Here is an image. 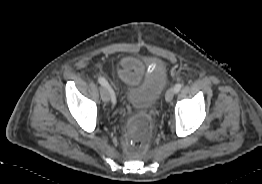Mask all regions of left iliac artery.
I'll return each mask as SVG.
<instances>
[{"mask_svg": "<svg viewBox=\"0 0 262 184\" xmlns=\"http://www.w3.org/2000/svg\"><path fill=\"white\" fill-rule=\"evenodd\" d=\"M181 88H182V84H181V83H177V84L174 86V91H175V93L179 92Z\"/></svg>", "mask_w": 262, "mask_h": 184, "instance_id": "1", "label": "left iliac artery"}]
</instances>
